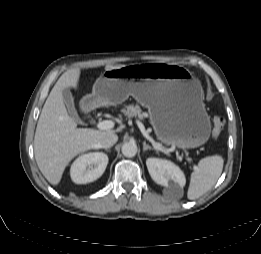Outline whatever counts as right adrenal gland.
Segmentation results:
<instances>
[{"label": "right adrenal gland", "instance_id": "2a0ac1e0", "mask_svg": "<svg viewBox=\"0 0 261 254\" xmlns=\"http://www.w3.org/2000/svg\"><path fill=\"white\" fill-rule=\"evenodd\" d=\"M104 150H105L106 152H110V149H108V148H104Z\"/></svg>", "mask_w": 261, "mask_h": 254}]
</instances>
